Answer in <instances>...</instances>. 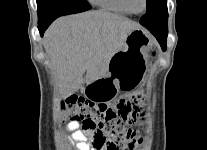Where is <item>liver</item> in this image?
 Segmentation results:
<instances>
[{"instance_id":"6515ba94","label":"liver","mask_w":207,"mask_h":150,"mask_svg":"<svg viewBox=\"0 0 207 150\" xmlns=\"http://www.w3.org/2000/svg\"><path fill=\"white\" fill-rule=\"evenodd\" d=\"M139 28L138 23L105 11L55 20L44 35L43 45L60 93L70 96L84 82L90 84L105 77L111 58L122 49L127 35Z\"/></svg>"}]
</instances>
